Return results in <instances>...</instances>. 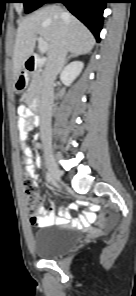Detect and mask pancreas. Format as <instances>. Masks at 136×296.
Instances as JSON below:
<instances>
[{"mask_svg":"<svg viewBox=\"0 0 136 296\" xmlns=\"http://www.w3.org/2000/svg\"><path fill=\"white\" fill-rule=\"evenodd\" d=\"M43 84V77L40 74V71H36L32 76V81L27 91V101L31 99L37 100L39 98L41 87Z\"/></svg>","mask_w":136,"mask_h":296,"instance_id":"obj_1","label":"pancreas"}]
</instances>
